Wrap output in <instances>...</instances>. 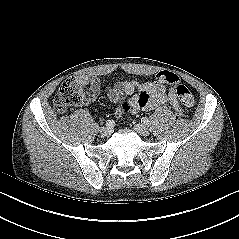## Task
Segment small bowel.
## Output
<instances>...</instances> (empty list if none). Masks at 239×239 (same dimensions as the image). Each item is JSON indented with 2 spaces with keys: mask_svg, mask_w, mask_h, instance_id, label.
Instances as JSON below:
<instances>
[{
  "mask_svg": "<svg viewBox=\"0 0 239 239\" xmlns=\"http://www.w3.org/2000/svg\"><path fill=\"white\" fill-rule=\"evenodd\" d=\"M80 84L88 86L90 101H95L104 92L108 99L116 104L115 114L119 116V103L124 96L129 97L133 112L151 111L164 104H170L177 113H182L176 94L172 88H167L162 82L150 81L140 83L136 80H125L104 87L101 80L95 76L81 75L77 77Z\"/></svg>",
  "mask_w": 239,
  "mask_h": 239,
  "instance_id": "obj_1",
  "label": "small bowel"
}]
</instances>
